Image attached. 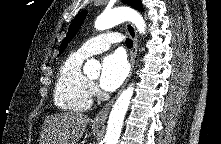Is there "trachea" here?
<instances>
[{"instance_id":"1","label":"trachea","mask_w":221,"mask_h":144,"mask_svg":"<svg viewBox=\"0 0 221 144\" xmlns=\"http://www.w3.org/2000/svg\"><path fill=\"white\" fill-rule=\"evenodd\" d=\"M125 43L128 48H132L133 41L130 38H127Z\"/></svg>"}]
</instances>
